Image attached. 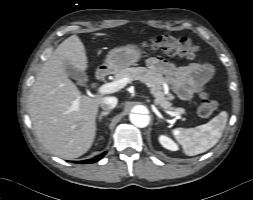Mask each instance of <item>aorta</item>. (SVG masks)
I'll return each mask as SVG.
<instances>
[{
  "mask_svg": "<svg viewBox=\"0 0 253 200\" xmlns=\"http://www.w3.org/2000/svg\"><path fill=\"white\" fill-rule=\"evenodd\" d=\"M130 121L137 127L144 128L149 124V116L144 114H130Z\"/></svg>",
  "mask_w": 253,
  "mask_h": 200,
  "instance_id": "762f6f07",
  "label": "aorta"
}]
</instances>
